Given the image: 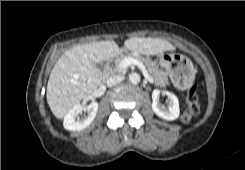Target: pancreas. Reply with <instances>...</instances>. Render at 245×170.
<instances>
[{
    "label": "pancreas",
    "mask_w": 245,
    "mask_h": 170,
    "mask_svg": "<svg viewBox=\"0 0 245 170\" xmlns=\"http://www.w3.org/2000/svg\"><path fill=\"white\" fill-rule=\"evenodd\" d=\"M126 57H132L137 59L138 61L142 62L147 71L149 72L150 77L154 80L155 84L160 87H166L170 84L167 74L162 69H159L156 62H153L149 58H145L142 55L129 52V53H122L115 61L117 64V72L118 73H124L125 69L118 68V64Z\"/></svg>",
    "instance_id": "1"
}]
</instances>
